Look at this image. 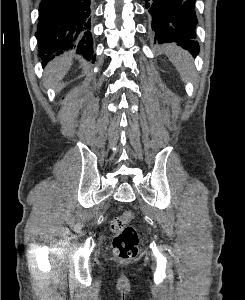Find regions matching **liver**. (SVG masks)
Instances as JSON below:
<instances>
[{"mask_svg":"<svg viewBox=\"0 0 245 300\" xmlns=\"http://www.w3.org/2000/svg\"><path fill=\"white\" fill-rule=\"evenodd\" d=\"M72 65L71 57H61L51 62L45 70V80L48 85L57 86L58 83L65 77Z\"/></svg>","mask_w":245,"mask_h":300,"instance_id":"liver-1","label":"liver"}]
</instances>
